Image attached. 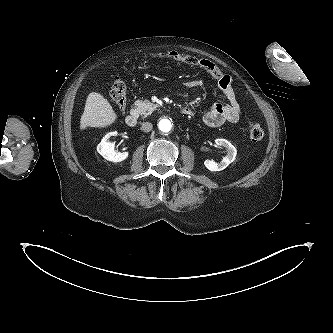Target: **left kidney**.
Segmentation results:
<instances>
[{"instance_id":"5707ae66","label":"left kidney","mask_w":333,"mask_h":333,"mask_svg":"<svg viewBox=\"0 0 333 333\" xmlns=\"http://www.w3.org/2000/svg\"><path fill=\"white\" fill-rule=\"evenodd\" d=\"M215 143L217 146L224 148L227 155L217 163L213 160H205L204 165L210 171H221L224 170L230 163L235 160L237 150L236 148L226 139H216Z\"/></svg>"}]
</instances>
